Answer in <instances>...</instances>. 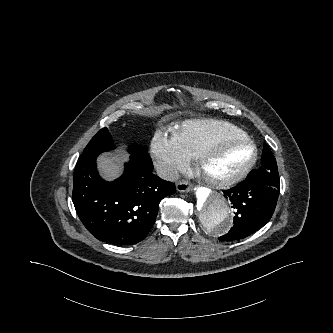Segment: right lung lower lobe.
<instances>
[{"label": "right lung lower lobe", "mask_w": 333, "mask_h": 333, "mask_svg": "<svg viewBox=\"0 0 333 333\" xmlns=\"http://www.w3.org/2000/svg\"><path fill=\"white\" fill-rule=\"evenodd\" d=\"M99 154H82L73 176L76 212L97 239L114 245L136 244L155 223L160 201L175 193V185L152 173L150 156L131 155L124 174L106 182L97 172Z\"/></svg>", "instance_id": "98d812e1"}]
</instances>
